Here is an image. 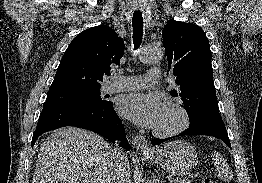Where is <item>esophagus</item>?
Returning a JSON list of instances; mask_svg holds the SVG:
<instances>
[{"instance_id": "1", "label": "esophagus", "mask_w": 262, "mask_h": 183, "mask_svg": "<svg viewBox=\"0 0 262 183\" xmlns=\"http://www.w3.org/2000/svg\"><path fill=\"white\" fill-rule=\"evenodd\" d=\"M134 146L137 150L142 152H150L151 149L148 147L147 140L142 135H136L134 138Z\"/></svg>"}]
</instances>
